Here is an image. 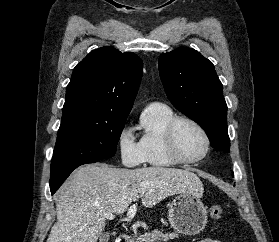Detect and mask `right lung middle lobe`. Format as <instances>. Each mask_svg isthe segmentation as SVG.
Instances as JSON below:
<instances>
[{
	"mask_svg": "<svg viewBox=\"0 0 279 242\" xmlns=\"http://www.w3.org/2000/svg\"><path fill=\"white\" fill-rule=\"evenodd\" d=\"M126 118H107L76 111L63 114L51 163L50 182L75 166L113 157Z\"/></svg>",
	"mask_w": 279,
	"mask_h": 242,
	"instance_id": "1",
	"label": "right lung middle lobe"
}]
</instances>
